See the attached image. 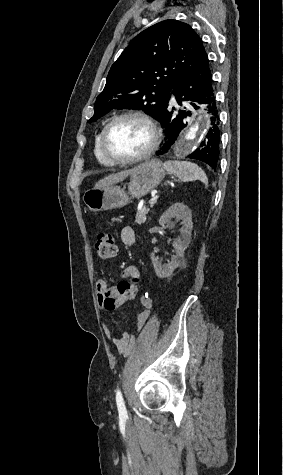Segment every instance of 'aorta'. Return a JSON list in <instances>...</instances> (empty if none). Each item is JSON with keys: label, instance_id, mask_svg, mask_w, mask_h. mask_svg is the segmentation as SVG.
Masks as SVG:
<instances>
[{"label": "aorta", "instance_id": "762f6f07", "mask_svg": "<svg viewBox=\"0 0 283 475\" xmlns=\"http://www.w3.org/2000/svg\"><path fill=\"white\" fill-rule=\"evenodd\" d=\"M209 127V118L207 115L201 114L188 128L180 135L173 146L176 156H186L191 151L199 147L200 142L204 138L206 130Z\"/></svg>", "mask_w": 283, "mask_h": 475}]
</instances>
